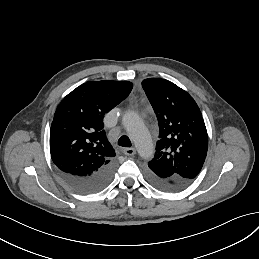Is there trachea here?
<instances>
[{"label":"trachea","instance_id":"trachea-1","mask_svg":"<svg viewBox=\"0 0 259 259\" xmlns=\"http://www.w3.org/2000/svg\"><path fill=\"white\" fill-rule=\"evenodd\" d=\"M118 145L122 147H131V141L127 136H122L118 139Z\"/></svg>","mask_w":259,"mask_h":259}]
</instances>
